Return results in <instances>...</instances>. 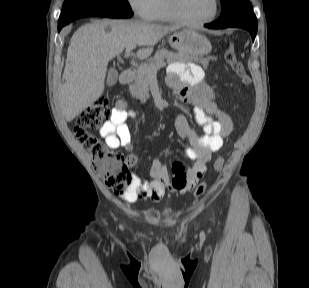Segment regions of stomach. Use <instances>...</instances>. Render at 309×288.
<instances>
[{
	"label": "stomach",
	"instance_id": "obj_1",
	"mask_svg": "<svg viewBox=\"0 0 309 288\" xmlns=\"http://www.w3.org/2000/svg\"><path fill=\"white\" fill-rule=\"evenodd\" d=\"M170 46L180 54L201 57L210 53V41L202 34L191 29H183L169 36Z\"/></svg>",
	"mask_w": 309,
	"mask_h": 288
}]
</instances>
